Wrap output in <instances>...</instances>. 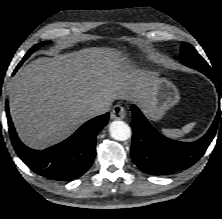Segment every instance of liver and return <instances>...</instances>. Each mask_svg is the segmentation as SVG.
Listing matches in <instances>:
<instances>
[{
	"instance_id": "liver-1",
	"label": "liver",
	"mask_w": 222,
	"mask_h": 219,
	"mask_svg": "<svg viewBox=\"0 0 222 219\" xmlns=\"http://www.w3.org/2000/svg\"><path fill=\"white\" fill-rule=\"evenodd\" d=\"M155 73L104 47L41 57L9 83V108L20 139L43 149L91 119L90 109L116 99L142 103Z\"/></svg>"
}]
</instances>
